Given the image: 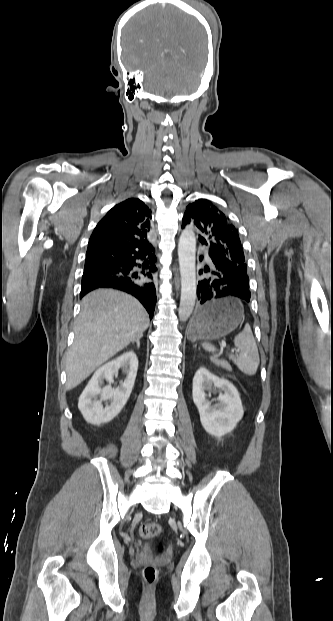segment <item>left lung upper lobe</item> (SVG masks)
Returning a JSON list of instances; mask_svg holds the SVG:
<instances>
[{"label":"left lung upper lobe","instance_id":"1","mask_svg":"<svg viewBox=\"0 0 333 621\" xmlns=\"http://www.w3.org/2000/svg\"><path fill=\"white\" fill-rule=\"evenodd\" d=\"M182 227L194 226L199 240L208 241L209 249L247 269L238 231L229 218L209 200L199 199L186 207ZM207 243V242H206Z\"/></svg>","mask_w":333,"mask_h":621}]
</instances>
